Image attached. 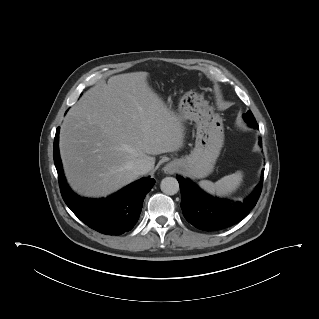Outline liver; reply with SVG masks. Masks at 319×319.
<instances>
[{
  "instance_id": "1",
  "label": "liver",
  "mask_w": 319,
  "mask_h": 319,
  "mask_svg": "<svg viewBox=\"0 0 319 319\" xmlns=\"http://www.w3.org/2000/svg\"><path fill=\"white\" fill-rule=\"evenodd\" d=\"M148 72L119 74L89 89L67 113L60 155L78 194L106 197L138 178L132 166L179 150L184 126L149 86ZM151 168V169H152Z\"/></svg>"
}]
</instances>
